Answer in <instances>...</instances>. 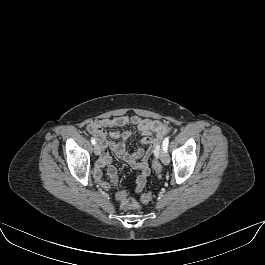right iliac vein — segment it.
<instances>
[{"label": "right iliac vein", "mask_w": 265, "mask_h": 265, "mask_svg": "<svg viewBox=\"0 0 265 265\" xmlns=\"http://www.w3.org/2000/svg\"><path fill=\"white\" fill-rule=\"evenodd\" d=\"M100 151H101L100 145L99 144H95V146H94V153H95V155H99L100 154Z\"/></svg>", "instance_id": "obj_1"}]
</instances>
